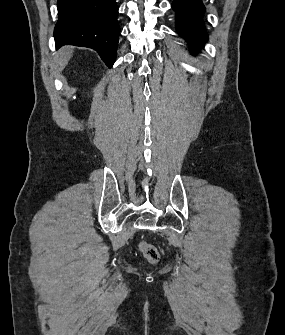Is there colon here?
<instances>
[{
	"mask_svg": "<svg viewBox=\"0 0 285 335\" xmlns=\"http://www.w3.org/2000/svg\"><path fill=\"white\" fill-rule=\"evenodd\" d=\"M140 252L150 263H157L160 259V254L157 247L146 241H141L138 245Z\"/></svg>",
	"mask_w": 285,
	"mask_h": 335,
	"instance_id": "1",
	"label": "colon"
}]
</instances>
